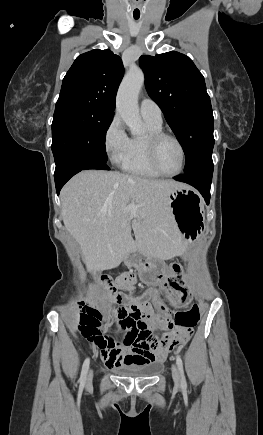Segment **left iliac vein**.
Listing matches in <instances>:
<instances>
[{"label": "left iliac vein", "instance_id": "1", "mask_svg": "<svg viewBox=\"0 0 263 435\" xmlns=\"http://www.w3.org/2000/svg\"><path fill=\"white\" fill-rule=\"evenodd\" d=\"M172 377L176 386L180 385V376L175 365H172Z\"/></svg>", "mask_w": 263, "mask_h": 435}]
</instances>
